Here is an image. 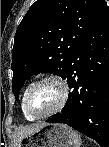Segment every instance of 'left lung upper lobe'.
Listing matches in <instances>:
<instances>
[{"mask_svg": "<svg viewBox=\"0 0 109 147\" xmlns=\"http://www.w3.org/2000/svg\"><path fill=\"white\" fill-rule=\"evenodd\" d=\"M107 7L104 0H37L19 24L12 50L17 99L35 73L66 78L79 43Z\"/></svg>", "mask_w": 109, "mask_h": 147, "instance_id": "obj_1", "label": "left lung upper lobe"}]
</instances>
